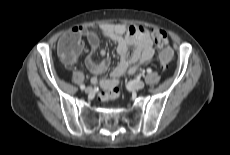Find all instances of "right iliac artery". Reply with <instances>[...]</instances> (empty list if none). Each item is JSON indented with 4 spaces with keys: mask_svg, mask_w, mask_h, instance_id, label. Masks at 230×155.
Masks as SVG:
<instances>
[{
    "mask_svg": "<svg viewBox=\"0 0 230 155\" xmlns=\"http://www.w3.org/2000/svg\"><path fill=\"white\" fill-rule=\"evenodd\" d=\"M80 88H81L82 90H84V89H85V85L81 84V85H80Z\"/></svg>",
    "mask_w": 230,
    "mask_h": 155,
    "instance_id": "right-iliac-artery-1",
    "label": "right iliac artery"
}]
</instances>
